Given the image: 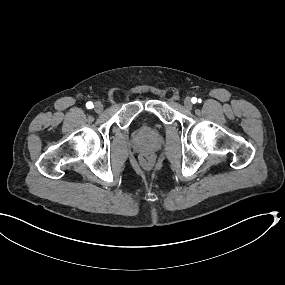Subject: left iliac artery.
I'll use <instances>...</instances> for the list:
<instances>
[{
    "label": "left iliac artery",
    "instance_id": "44dca946",
    "mask_svg": "<svg viewBox=\"0 0 285 285\" xmlns=\"http://www.w3.org/2000/svg\"><path fill=\"white\" fill-rule=\"evenodd\" d=\"M191 101H192V103H196L197 102V98L196 97H193L192 99H191ZM199 101V100H198Z\"/></svg>",
    "mask_w": 285,
    "mask_h": 285
}]
</instances>
